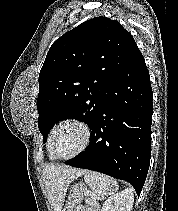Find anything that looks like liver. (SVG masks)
Segmentation results:
<instances>
[{
    "label": "liver",
    "instance_id": "6515ba94",
    "mask_svg": "<svg viewBox=\"0 0 178 211\" xmlns=\"http://www.w3.org/2000/svg\"><path fill=\"white\" fill-rule=\"evenodd\" d=\"M85 172L82 169L55 164H49L43 168V180L54 211H62L68 186Z\"/></svg>",
    "mask_w": 178,
    "mask_h": 211
}]
</instances>
